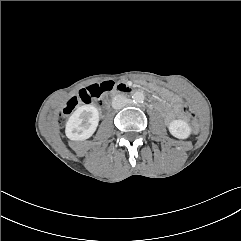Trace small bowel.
Returning <instances> with one entry per match:
<instances>
[{"label": "small bowel", "instance_id": "c3829d8e", "mask_svg": "<svg viewBox=\"0 0 241 241\" xmlns=\"http://www.w3.org/2000/svg\"><path fill=\"white\" fill-rule=\"evenodd\" d=\"M170 101V106L166 108V119L171 120L175 115L179 114L181 100L177 96H173L170 93L164 94Z\"/></svg>", "mask_w": 241, "mask_h": 241}]
</instances>
